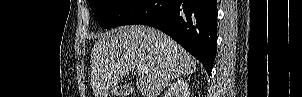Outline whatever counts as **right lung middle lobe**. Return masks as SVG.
I'll return each instance as SVG.
<instances>
[{"label": "right lung middle lobe", "instance_id": "dd1d6c3e", "mask_svg": "<svg viewBox=\"0 0 302 97\" xmlns=\"http://www.w3.org/2000/svg\"><path fill=\"white\" fill-rule=\"evenodd\" d=\"M144 0H89L100 27L115 28L143 2Z\"/></svg>", "mask_w": 302, "mask_h": 97}]
</instances>
